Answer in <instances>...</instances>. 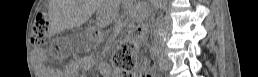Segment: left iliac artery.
Listing matches in <instances>:
<instances>
[{"mask_svg": "<svg viewBox=\"0 0 258 77\" xmlns=\"http://www.w3.org/2000/svg\"><path fill=\"white\" fill-rule=\"evenodd\" d=\"M154 54L158 55V56L160 55L159 52L156 49H154Z\"/></svg>", "mask_w": 258, "mask_h": 77, "instance_id": "left-iliac-artery-1", "label": "left iliac artery"}]
</instances>
